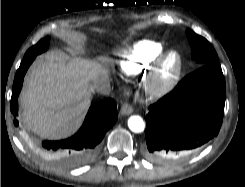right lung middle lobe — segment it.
Instances as JSON below:
<instances>
[{
  "mask_svg": "<svg viewBox=\"0 0 245 187\" xmlns=\"http://www.w3.org/2000/svg\"><path fill=\"white\" fill-rule=\"evenodd\" d=\"M49 39H50L49 37L41 39L36 45L31 47L26 52L25 56L38 55V54H41L42 52L46 51L48 48Z\"/></svg>",
  "mask_w": 245,
  "mask_h": 187,
  "instance_id": "right-lung-middle-lobe-1",
  "label": "right lung middle lobe"
}]
</instances>
